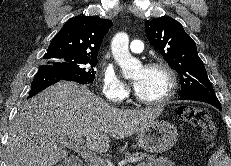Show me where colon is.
Returning a JSON list of instances; mask_svg holds the SVG:
<instances>
[{"instance_id": "1", "label": "colon", "mask_w": 231, "mask_h": 166, "mask_svg": "<svg viewBox=\"0 0 231 166\" xmlns=\"http://www.w3.org/2000/svg\"><path fill=\"white\" fill-rule=\"evenodd\" d=\"M178 115L185 123L199 128L202 137L206 141H211L215 137L216 125L210 112L206 108L194 105H183L179 107Z\"/></svg>"}]
</instances>
